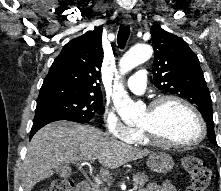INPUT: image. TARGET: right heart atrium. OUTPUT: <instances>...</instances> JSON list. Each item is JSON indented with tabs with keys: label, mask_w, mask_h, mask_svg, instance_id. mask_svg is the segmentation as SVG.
Segmentation results:
<instances>
[{
	"label": "right heart atrium",
	"mask_w": 221,
	"mask_h": 191,
	"mask_svg": "<svg viewBox=\"0 0 221 191\" xmlns=\"http://www.w3.org/2000/svg\"><path fill=\"white\" fill-rule=\"evenodd\" d=\"M103 123L110 136L124 142L130 143L137 132V129L131 128L123 123L116 111L110 106H107L104 110Z\"/></svg>",
	"instance_id": "right-heart-atrium-1"
}]
</instances>
